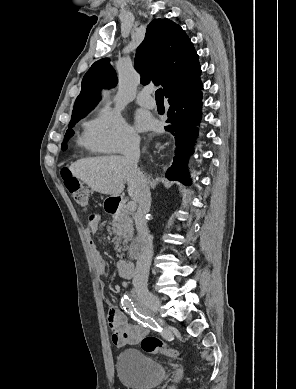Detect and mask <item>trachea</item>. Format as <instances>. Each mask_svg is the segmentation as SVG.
<instances>
[{"label": "trachea", "mask_w": 296, "mask_h": 389, "mask_svg": "<svg viewBox=\"0 0 296 389\" xmlns=\"http://www.w3.org/2000/svg\"><path fill=\"white\" fill-rule=\"evenodd\" d=\"M155 97H156V100H163L164 99V94H163L162 88H159L156 90Z\"/></svg>", "instance_id": "obj_1"}]
</instances>
